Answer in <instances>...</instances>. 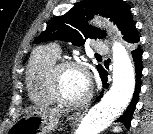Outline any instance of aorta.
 Wrapping results in <instances>:
<instances>
[{
	"instance_id": "obj_1",
	"label": "aorta",
	"mask_w": 153,
	"mask_h": 134,
	"mask_svg": "<svg viewBox=\"0 0 153 134\" xmlns=\"http://www.w3.org/2000/svg\"><path fill=\"white\" fill-rule=\"evenodd\" d=\"M135 89V74L131 59L125 47L113 44V83L86 115L76 134H99L107 128L128 106Z\"/></svg>"
}]
</instances>
